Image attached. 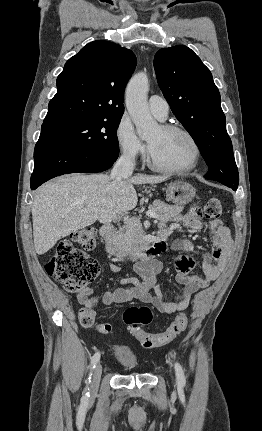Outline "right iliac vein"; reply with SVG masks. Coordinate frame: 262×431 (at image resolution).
<instances>
[{
  "mask_svg": "<svg viewBox=\"0 0 262 431\" xmlns=\"http://www.w3.org/2000/svg\"><path fill=\"white\" fill-rule=\"evenodd\" d=\"M101 374H102V366H101V364H97L95 369H94V374H93V388L94 389L98 388V386H99Z\"/></svg>",
  "mask_w": 262,
  "mask_h": 431,
  "instance_id": "right-iliac-vein-1",
  "label": "right iliac vein"
}]
</instances>
